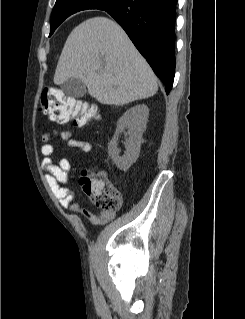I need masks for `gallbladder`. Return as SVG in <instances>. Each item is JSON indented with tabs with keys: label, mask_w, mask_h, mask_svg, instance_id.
<instances>
[{
	"label": "gallbladder",
	"mask_w": 245,
	"mask_h": 319,
	"mask_svg": "<svg viewBox=\"0 0 245 319\" xmlns=\"http://www.w3.org/2000/svg\"><path fill=\"white\" fill-rule=\"evenodd\" d=\"M62 91L69 97L81 98L86 95L87 87L79 78H70L61 84Z\"/></svg>",
	"instance_id": "1"
}]
</instances>
